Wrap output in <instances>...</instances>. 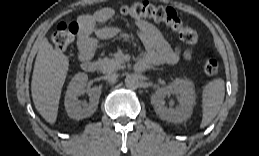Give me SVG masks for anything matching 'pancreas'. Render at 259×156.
I'll return each instance as SVG.
<instances>
[{
    "instance_id": "obj_1",
    "label": "pancreas",
    "mask_w": 259,
    "mask_h": 156,
    "mask_svg": "<svg viewBox=\"0 0 259 156\" xmlns=\"http://www.w3.org/2000/svg\"><path fill=\"white\" fill-rule=\"evenodd\" d=\"M98 65L102 73H111L123 68V60L117 58H103L98 60Z\"/></svg>"
}]
</instances>
